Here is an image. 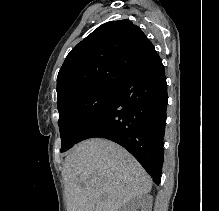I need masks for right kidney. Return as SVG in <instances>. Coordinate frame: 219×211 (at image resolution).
<instances>
[{"mask_svg":"<svg viewBox=\"0 0 219 211\" xmlns=\"http://www.w3.org/2000/svg\"><path fill=\"white\" fill-rule=\"evenodd\" d=\"M152 211V195H142V197H133L132 201L124 207L123 211Z\"/></svg>","mask_w":219,"mask_h":211,"instance_id":"obj_1","label":"right kidney"}]
</instances>
